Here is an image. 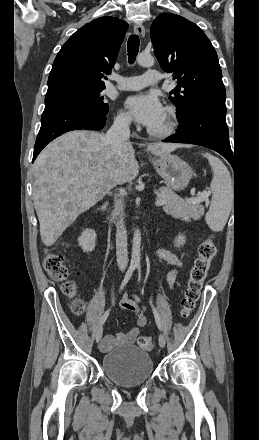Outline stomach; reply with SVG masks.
Listing matches in <instances>:
<instances>
[{
    "mask_svg": "<svg viewBox=\"0 0 259 440\" xmlns=\"http://www.w3.org/2000/svg\"><path fill=\"white\" fill-rule=\"evenodd\" d=\"M152 163L169 188L182 191L188 186L193 172L191 167L178 156L168 154L153 159Z\"/></svg>",
    "mask_w": 259,
    "mask_h": 440,
    "instance_id": "0dacf381",
    "label": "stomach"
}]
</instances>
